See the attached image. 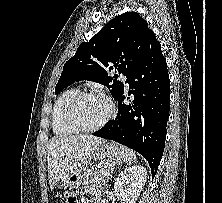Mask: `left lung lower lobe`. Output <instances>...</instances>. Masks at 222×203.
<instances>
[{"label": "left lung lower lobe", "mask_w": 222, "mask_h": 203, "mask_svg": "<svg viewBox=\"0 0 222 203\" xmlns=\"http://www.w3.org/2000/svg\"><path fill=\"white\" fill-rule=\"evenodd\" d=\"M130 104H124V90L117 98L118 114L93 135L114 140L148 161L155 176L164 151L170 109V84L166 60L153 31L142 57L127 77ZM130 99V97H128Z\"/></svg>", "instance_id": "obj_1"}]
</instances>
